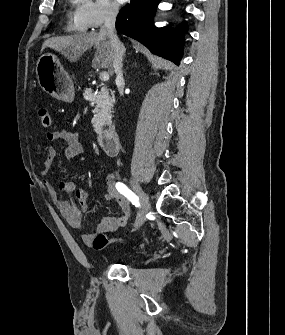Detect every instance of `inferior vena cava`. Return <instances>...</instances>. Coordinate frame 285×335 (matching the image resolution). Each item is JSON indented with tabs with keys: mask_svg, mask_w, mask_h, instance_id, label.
Instances as JSON below:
<instances>
[{
	"mask_svg": "<svg viewBox=\"0 0 285 335\" xmlns=\"http://www.w3.org/2000/svg\"><path fill=\"white\" fill-rule=\"evenodd\" d=\"M106 2L107 4L105 6L106 14L104 18V26H101L100 34H104V36H107V38H109L111 48L114 52L113 68L117 76L116 84L119 88V94L123 96L124 78L122 72V62L123 56L125 54V48L123 44H121L115 30V22L119 6L118 4H116V2H113V0H106Z\"/></svg>",
	"mask_w": 285,
	"mask_h": 335,
	"instance_id": "obj_1",
	"label": "inferior vena cava"
}]
</instances>
